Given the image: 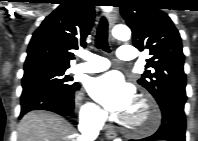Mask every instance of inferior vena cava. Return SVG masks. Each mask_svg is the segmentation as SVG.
I'll return each instance as SVG.
<instances>
[{
  "instance_id": "1",
  "label": "inferior vena cava",
  "mask_w": 198,
  "mask_h": 141,
  "mask_svg": "<svg viewBox=\"0 0 198 141\" xmlns=\"http://www.w3.org/2000/svg\"><path fill=\"white\" fill-rule=\"evenodd\" d=\"M105 115L97 110L89 113L86 117L81 119L84 125L79 126V130L82 133L83 141H93L99 134L104 123Z\"/></svg>"
}]
</instances>
